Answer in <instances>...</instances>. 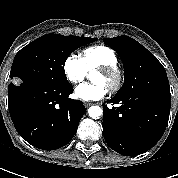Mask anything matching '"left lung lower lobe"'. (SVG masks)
<instances>
[{
	"label": "left lung lower lobe",
	"instance_id": "left-lung-lower-lobe-1",
	"mask_svg": "<svg viewBox=\"0 0 178 178\" xmlns=\"http://www.w3.org/2000/svg\"><path fill=\"white\" fill-rule=\"evenodd\" d=\"M120 107L103 108V133L111 149L126 156L140 155L162 137L169 120L171 97L150 92L114 96Z\"/></svg>",
	"mask_w": 178,
	"mask_h": 178
}]
</instances>
